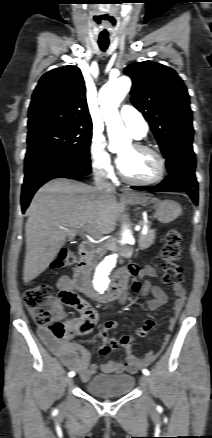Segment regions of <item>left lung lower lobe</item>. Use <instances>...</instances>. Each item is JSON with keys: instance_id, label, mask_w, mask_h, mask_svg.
Masks as SVG:
<instances>
[{"instance_id": "1", "label": "left lung lower lobe", "mask_w": 212, "mask_h": 438, "mask_svg": "<svg viewBox=\"0 0 212 438\" xmlns=\"http://www.w3.org/2000/svg\"><path fill=\"white\" fill-rule=\"evenodd\" d=\"M166 167L169 176L157 186H132L135 190L150 191H185L198 204V182L195 177L196 159L192 145L175 149L171 156L166 158Z\"/></svg>"}]
</instances>
